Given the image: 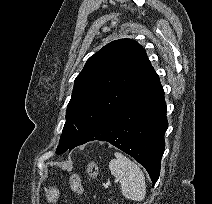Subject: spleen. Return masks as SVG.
Returning <instances> with one entry per match:
<instances>
[{"mask_svg": "<svg viewBox=\"0 0 212 204\" xmlns=\"http://www.w3.org/2000/svg\"><path fill=\"white\" fill-rule=\"evenodd\" d=\"M109 162L111 174L121 184L122 194L130 200L141 202L146 195L145 177L140 167L119 152Z\"/></svg>", "mask_w": 212, "mask_h": 204, "instance_id": "spleen-1", "label": "spleen"}]
</instances>
